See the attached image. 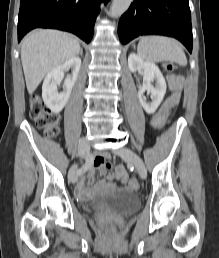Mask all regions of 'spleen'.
I'll use <instances>...</instances> for the list:
<instances>
[{"mask_svg":"<svg viewBox=\"0 0 219 258\" xmlns=\"http://www.w3.org/2000/svg\"><path fill=\"white\" fill-rule=\"evenodd\" d=\"M138 55L148 62L172 61L187 65L181 44L175 39L163 36L142 37L137 46Z\"/></svg>","mask_w":219,"mask_h":258,"instance_id":"spleen-1","label":"spleen"}]
</instances>
